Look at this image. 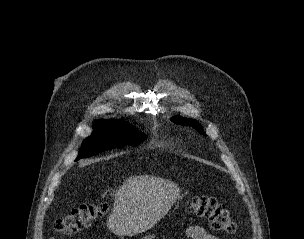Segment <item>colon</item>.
Wrapping results in <instances>:
<instances>
[{"mask_svg":"<svg viewBox=\"0 0 304 239\" xmlns=\"http://www.w3.org/2000/svg\"><path fill=\"white\" fill-rule=\"evenodd\" d=\"M107 204H83L61 216L55 222V230L64 235H71L89 227L107 210ZM190 211L207 218L213 230L223 234H233L235 223L225 205L211 196H195L190 199Z\"/></svg>","mask_w":304,"mask_h":239,"instance_id":"5ec220e1","label":"colon"}]
</instances>
